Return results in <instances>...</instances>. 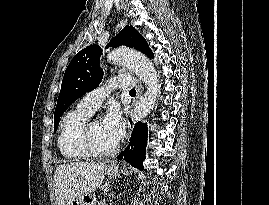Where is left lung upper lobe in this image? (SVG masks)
<instances>
[{"label": "left lung upper lobe", "instance_id": "5c2ea615", "mask_svg": "<svg viewBox=\"0 0 269 205\" xmlns=\"http://www.w3.org/2000/svg\"><path fill=\"white\" fill-rule=\"evenodd\" d=\"M129 46L153 58L144 37L133 27L125 28L115 36L106 46ZM102 49L98 45H91L78 52L69 63L61 85L57 106L54 113V131L57 130L60 116L79 97L98 87L103 77V70L99 66Z\"/></svg>", "mask_w": 269, "mask_h": 205}]
</instances>
